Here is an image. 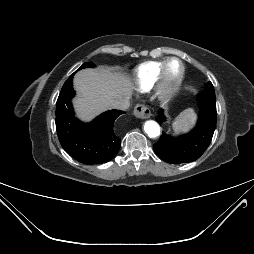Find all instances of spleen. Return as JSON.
<instances>
[{"instance_id":"obj_1","label":"spleen","mask_w":254,"mask_h":254,"mask_svg":"<svg viewBox=\"0 0 254 254\" xmlns=\"http://www.w3.org/2000/svg\"><path fill=\"white\" fill-rule=\"evenodd\" d=\"M196 114L192 108L182 111L174 120L172 126L175 133L187 132L194 124Z\"/></svg>"}]
</instances>
